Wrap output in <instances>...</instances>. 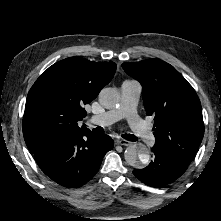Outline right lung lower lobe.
Returning a JSON list of instances; mask_svg holds the SVG:
<instances>
[{"instance_id":"98d812e1","label":"right lung lower lobe","mask_w":221,"mask_h":221,"mask_svg":"<svg viewBox=\"0 0 221 221\" xmlns=\"http://www.w3.org/2000/svg\"><path fill=\"white\" fill-rule=\"evenodd\" d=\"M113 145L110 136L88 129L32 153L41 170L53 181L64 187L79 188L97 173L103 157Z\"/></svg>"}]
</instances>
